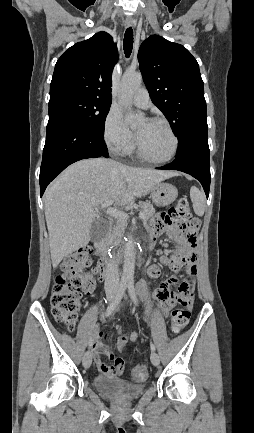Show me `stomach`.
Returning <instances> with one entry per match:
<instances>
[{"label": "stomach", "mask_w": 254, "mask_h": 433, "mask_svg": "<svg viewBox=\"0 0 254 433\" xmlns=\"http://www.w3.org/2000/svg\"><path fill=\"white\" fill-rule=\"evenodd\" d=\"M151 196L157 206H167L177 198L178 190L172 184L160 182L151 190Z\"/></svg>", "instance_id": "0dacf381"}]
</instances>
